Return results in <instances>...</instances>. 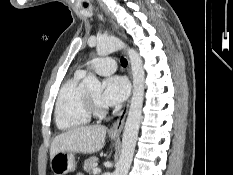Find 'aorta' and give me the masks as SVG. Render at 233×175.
<instances>
[{"instance_id":"762f6f07","label":"aorta","mask_w":233,"mask_h":175,"mask_svg":"<svg viewBox=\"0 0 233 175\" xmlns=\"http://www.w3.org/2000/svg\"><path fill=\"white\" fill-rule=\"evenodd\" d=\"M123 48H125V44L119 39L107 38L98 41L96 50L99 56H106ZM127 51L133 76V95L123 131L121 155L113 175L128 174L135 151L144 101L145 73L142 59L136 50L128 48ZM83 84L88 91L102 89L100 81L93 74L88 75L83 80Z\"/></svg>"}]
</instances>
